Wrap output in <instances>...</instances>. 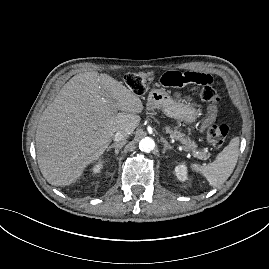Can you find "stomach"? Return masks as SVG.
Wrapping results in <instances>:
<instances>
[{"label": "stomach", "instance_id": "1", "mask_svg": "<svg viewBox=\"0 0 269 269\" xmlns=\"http://www.w3.org/2000/svg\"><path fill=\"white\" fill-rule=\"evenodd\" d=\"M147 109H159L166 116L189 125L194 123L198 117V111L193 105L173 99L164 89L155 88L149 92ZM188 132L191 134V128H188Z\"/></svg>", "mask_w": 269, "mask_h": 269}]
</instances>
